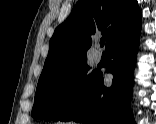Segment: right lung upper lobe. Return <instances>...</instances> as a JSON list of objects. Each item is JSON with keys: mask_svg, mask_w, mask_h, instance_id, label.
I'll return each mask as SVG.
<instances>
[{"mask_svg": "<svg viewBox=\"0 0 156 124\" xmlns=\"http://www.w3.org/2000/svg\"><path fill=\"white\" fill-rule=\"evenodd\" d=\"M140 26L136 0H78L70 16L55 29L39 79L87 62L93 35L106 39L107 50L123 34Z\"/></svg>", "mask_w": 156, "mask_h": 124, "instance_id": "obj_1", "label": "right lung upper lobe"}]
</instances>
